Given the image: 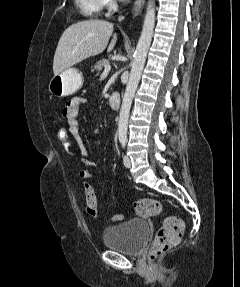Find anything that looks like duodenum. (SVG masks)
Segmentation results:
<instances>
[{
	"label": "duodenum",
	"mask_w": 240,
	"mask_h": 287,
	"mask_svg": "<svg viewBox=\"0 0 240 287\" xmlns=\"http://www.w3.org/2000/svg\"><path fill=\"white\" fill-rule=\"evenodd\" d=\"M108 103L112 109H117L120 105V95L117 92H112L108 97Z\"/></svg>",
	"instance_id": "duodenum-1"
}]
</instances>
